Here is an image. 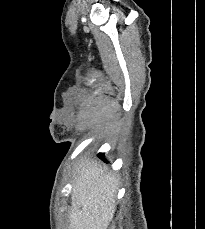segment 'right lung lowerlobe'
<instances>
[{
	"instance_id": "obj_1",
	"label": "right lung lower lobe",
	"mask_w": 205,
	"mask_h": 229,
	"mask_svg": "<svg viewBox=\"0 0 205 229\" xmlns=\"http://www.w3.org/2000/svg\"><path fill=\"white\" fill-rule=\"evenodd\" d=\"M98 156H99L102 160H104V161L106 162V160L104 159V155H103V154H98Z\"/></svg>"
}]
</instances>
